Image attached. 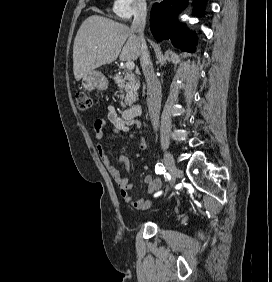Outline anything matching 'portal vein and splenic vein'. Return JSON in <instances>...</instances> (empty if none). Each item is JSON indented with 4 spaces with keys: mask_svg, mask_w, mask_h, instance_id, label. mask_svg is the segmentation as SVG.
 I'll list each match as a JSON object with an SVG mask.
<instances>
[{
    "mask_svg": "<svg viewBox=\"0 0 272 282\" xmlns=\"http://www.w3.org/2000/svg\"><path fill=\"white\" fill-rule=\"evenodd\" d=\"M125 67H126V69H128V70H132V69H134L135 64H134L133 61H127V62L125 63Z\"/></svg>",
    "mask_w": 272,
    "mask_h": 282,
    "instance_id": "18ae733b",
    "label": "portal vein and splenic vein"
}]
</instances>
